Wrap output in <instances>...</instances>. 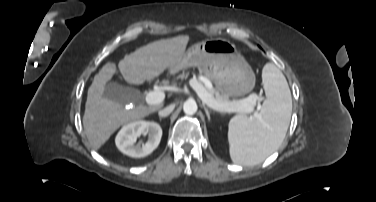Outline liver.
<instances>
[{"label":"liver","mask_w":376,"mask_h":202,"mask_svg":"<svg viewBox=\"0 0 376 202\" xmlns=\"http://www.w3.org/2000/svg\"><path fill=\"white\" fill-rule=\"evenodd\" d=\"M188 35L161 39L138 48L126 55L118 64L108 62L95 75L88 89L83 126L91 146L98 150L123 124L135 122L156 112L164 103L152 106L139 105L125 109L119 103L103 97L106 83L120 71L130 84H143L161 75L166 69L176 65L185 53Z\"/></svg>","instance_id":"6515ba94"}]
</instances>
